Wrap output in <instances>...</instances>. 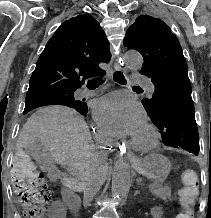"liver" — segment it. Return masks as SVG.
Returning <instances> with one entry per match:
<instances>
[{
    "instance_id": "liver-1",
    "label": "liver",
    "mask_w": 211,
    "mask_h": 218,
    "mask_svg": "<svg viewBox=\"0 0 211 218\" xmlns=\"http://www.w3.org/2000/svg\"><path fill=\"white\" fill-rule=\"evenodd\" d=\"M18 148L37 150L40 168L44 170V152L58 164H68L78 170V182L87 172H100L106 178L108 166L95 152L89 128L81 116L71 108L48 106L32 114L18 138ZM64 186H69L64 180Z\"/></svg>"
}]
</instances>
